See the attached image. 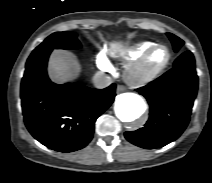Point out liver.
Masks as SVG:
<instances>
[{
    "label": "liver",
    "mask_w": 212,
    "mask_h": 183,
    "mask_svg": "<svg viewBox=\"0 0 212 183\" xmlns=\"http://www.w3.org/2000/svg\"><path fill=\"white\" fill-rule=\"evenodd\" d=\"M80 71L76 58L68 51L56 50L52 53L48 73L50 79L58 84L75 79Z\"/></svg>",
    "instance_id": "obj_1"
}]
</instances>
